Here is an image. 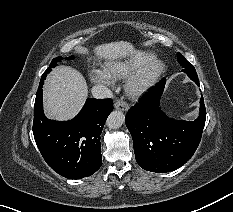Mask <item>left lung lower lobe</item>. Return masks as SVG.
I'll return each mask as SVG.
<instances>
[{
	"instance_id": "1",
	"label": "left lung lower lobe",
	"mask_w": 233,
	"mask_h": 212,
	"mask_svg": "<svg viewBox=\"0 0 233 212\" xmlns=\"http://www.w3.org/2000/svg\"><path fill=\"white\" fill-rule=\"evenodd\" d=\"M185 73L199 86L196 71L186 70ZM165 82L163 78L139 100V104L130 108L125 117L137 163L143 169L157 173L173 171L192 157L201 140L206 119L203 97L196 120L167 117L159 107Z\"/></svg>"
}]
</instances>
